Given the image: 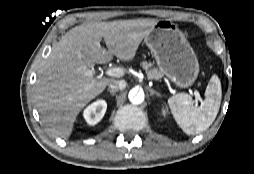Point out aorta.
<instances>
[{"mask_svg":"<svg viewBox=\"0 0 254 174\" xmlns=\"http://www.w3.org/2000/svg\"><path fill=\"white\" fill-rule=\"evenodd\" d=\"M130 102L134 105H139L144 101V92L138 88H133L128 94Z\"/></svg>","mask_w":254,"mask_h":174,"instance_id":"aorta-1","label":"aorta"}]
</instances>
